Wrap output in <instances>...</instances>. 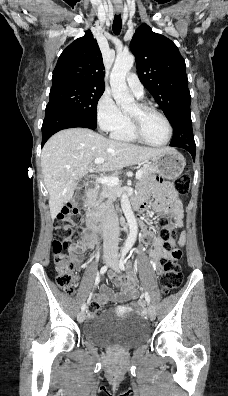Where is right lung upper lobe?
I'll use <instances>...</instances> for the list:
<instances>
[{"instance_id": "obj_1", "label": "right lung upper lobe", "mask_w": 228, "mask_h": 396, "mask_svg": "<svg viewBox=\"0 0 228 396\" xmlns=\"http://www.w3.org/2000/svg\"><path fill=\"white\" fill-rule=\"evenodd\" d=\"M60 84L105 88L102 54L90 30L60 55L53 71L52 86Z\"/></svg>"}]
</instances>
